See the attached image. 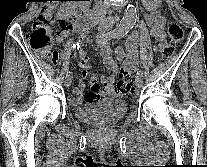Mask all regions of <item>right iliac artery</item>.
<instances>
[{"label":"right iliac artery","instance_id":"obj_1","mask_svg":"<svg viewBox=\"0 0 207 167\" xmlns=\"http://www.w3.org/2000/svg\"><path fill=\"white\" fill-rule=\"evenodd\" d=\"M118 33L125 34V30L120 28V29H117V30H114V31H111V32L101 34L97 37L96 43L97 44H103V43L107 42L108 40H110L111 38H113ZM71 76H72L71 72L67 71L66 77H71Z\"/></svg>","mask_w":207,"mask_h":167}]
</instances>
